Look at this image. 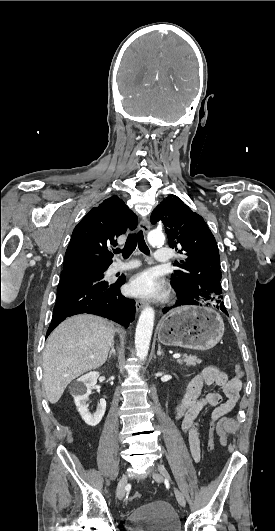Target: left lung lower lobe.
Instances as JSON below:
<instances>
[{"instance_id": "left-lung-lower-lobe-1", "label": "left lung lower lobe", "mask_w": 275, "mask_h": 531, "mask_svg": "<svg viewBox=\"0 0 275 531\" xmlns=\"http://www.w3.org/2000/svg\"><path fill=\"white\" fill-rule=\"evenodd\" d=\"M175 306H180V305L176 304ZM168 310H169L168 307L164 308L163 313H166ZM224 313H226L228 315L227 311H224Z\"/></svg>"}]
</instances>
